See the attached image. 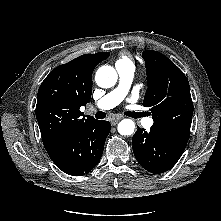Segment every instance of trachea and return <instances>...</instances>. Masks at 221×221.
I'll use <instances>...</instances> for the list:
<instances>
[{
  "label": "trachea",
  "mask_w": 221,
  "mask_h": 221,
  "mask_svg": "<svg viewBox=\"0 0 221 221\" xmlns=\"http://www.w3.org/2000/svg\"><path fill=\"white\" fill-rule=\"evenodd\" d=\"M144 114L143 113H134V118H139L142 117ZM106 117V113L99 111L95 114V118L97 119H104Z\"/></svg>",
  "instance_id": "trachea-1"
}]
</instances>
